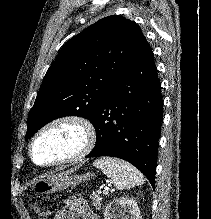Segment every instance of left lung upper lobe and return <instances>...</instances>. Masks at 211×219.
I'll return each mask as SVG.
<instances>
[{
  "mask_svg": "<svg viewBox=\"0 0 211 219\" xmlns=\"http://www.w3.org/2000/svg\"><path fill=\"white\" fill-rule=\"evenodd\" d=\"M146 43L135 22L117 15L100 19L71 38L46 72L28 115L25 139L60 117L92 121L107 91Z\"/></svg>",
  "mask_w": 211,
  "mask_h": 219,
  "instance_id": "1",
  "label": "left lung upper lobe"
}]
</instances>
